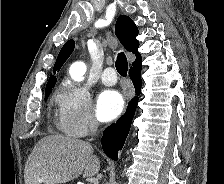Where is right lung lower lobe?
Listing matches in <instances>:
<instances>
[{
  "label": "right lung lower lobe",
  "instance_id": "right-lung-lower-lobe-1",
  "mask_svg": "<svg viewBox=\"0 0 224 184\" xmlns=\"http://www.w3.org/2000/svg\"><path fill=\"white\" fill-rule=\"evenodd\" d=\"M130 78L133 82L136 96L128 103L126 112L120 119L109 126L102 136V148L107 156L113 160H117L118 150H121L126 137L129 133L133 116L135 114L138 95L141 92V65L131 67L129 70Z\"/></svg>",
  "mask_w": 224,
  "mask_h": 184
}]
</instances>
